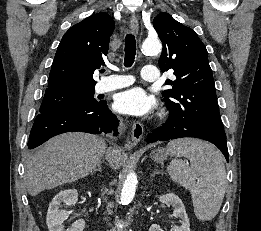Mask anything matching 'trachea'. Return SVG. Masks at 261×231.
Segmentation results:
<instances>
[{
    "instance_id": "1",
    "label": "trachea",
    "mask_w": 261,
    "mask_h": 231,
    "mask_svg": "<svg viewBox=\"0 0 261 231\" xmlns=\"http://www.w3.org/2000/svg\"><path fill=\"white\" fill-rule=\"evenodd\" d=\"M136 55V40L134 35L127 34L125 37V57L124 65L125 67L132 66ZM104 72V70H102Z\"/></svg>"
}]
</instances>
